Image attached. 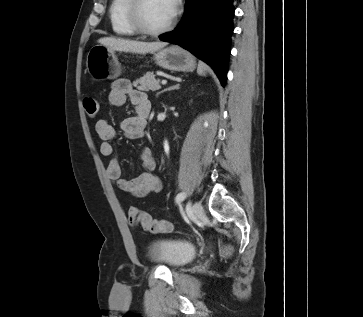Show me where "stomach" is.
I'll return each mask as SVG.
<instances>
[{"mask_svg":"<svg viewBox=\"0 0 363 317\" xmlns=\"http://www.w3.org/2000/svg\"><path fill=\"white\" fill-rule=\"evenodd\" d=\"M154 60L160 67L178 72L193 71L196 65L193 55L176 45L154 53ZM86 67L95 81L115 79L121 74V64L115 51L101 44L95 45L89 50Z\"/></svg>","mask_w":363,"mask_h":317,"instance_id":"1","label":"stomach"}]
</instances>
